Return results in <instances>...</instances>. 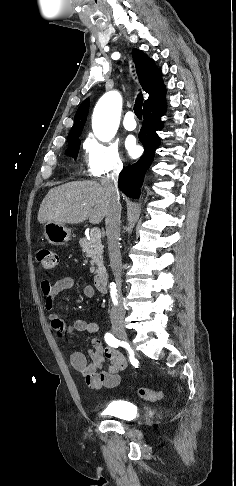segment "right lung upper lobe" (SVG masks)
Segmentation results:
<instances>
[{
    "mask_svg": "<svg viewBox=\"0 0 236 486\" xmlns=\"http://www.w3.org/2000/svg\"><path fill=\"white\" fill-rule=\"evenodd\" d=\"M132 56L136 65L140 84L143 90L149 94L144 105L164 96L165 87L162 83L161 71L156 68L154 61L138 49H133ZM88 110L89 99H86L76 112L74 125L69 133V142L79 138L87 119Z\"/></svg>",
    "mask_w": 236,
    "mask_h": 486,
    "instance_id": "cb5924a9",
    "label": "right lung upper lobe"
}]
</instances>
